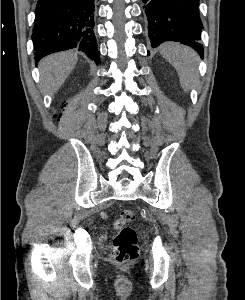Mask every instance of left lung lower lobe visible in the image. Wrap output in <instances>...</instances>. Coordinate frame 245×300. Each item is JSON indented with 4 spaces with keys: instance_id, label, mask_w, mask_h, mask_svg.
<instances>
[{
    "instance_id": "1",
    "label": "left lung lower lobe",
    "mask_w": 245,
    "mask_h": 300,
    "mask_svg": "<svg viewBox=\"0 0 245 300\" xmlns=\"http://www.w3.org/2000/svg\"><path fill=\"white\" fill-rule=\"evenodd\" d=\"M152 47L164 41H178L194 48L201 57L203 46L198 42L202 22L199 0H143ZM149 55V52H148Z\"/></svg>"
}]
</instances>
